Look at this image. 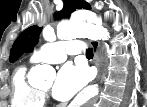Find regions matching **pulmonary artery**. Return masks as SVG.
<instances>
[{"mask_svg":"<svg viewBox=\"0 0 147 107\" xmlns=\"http://www.w3.org/2000/svg\"><path fill=\"white\" fill-rule=\"evenodd\" d=\"M84 46L80 41H59L42 45L32 57L34 62L61 63L68 55L80 53Z\"/></svg>","mask_w":147,"mask_h":107,"instance_id":"e3ab8cb5","label":"pulmonary artery"}]
</instances>
